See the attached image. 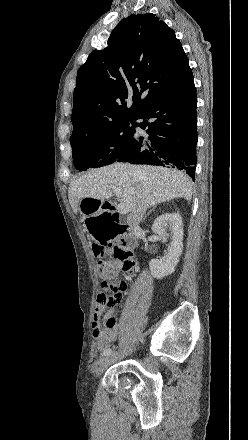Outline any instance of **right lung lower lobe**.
Masks as SVG:
<instances>
[{
    "label": "right lung lower lobe",
    "instance_id": "obj_1",
    "mask_svg": "<svg viewBox=\"0 0 248 440\" xmlns=\"http://www.w3.org/2000/svg\"><path fill=\"white\" fill-rule=\"evenodd\" d=\"M197 95L194 81L166 92L143 106L131 118L133 133L127 151L118 162L176 167L195 180ZM142 119L141 123L135 120ZM146 137L134 135L135 127Z\"/></svg>",
    "mask_w": 248,
    "mask_h": 440
}]
</instances>
